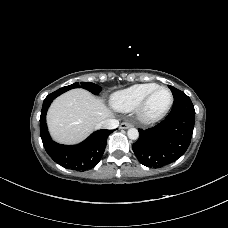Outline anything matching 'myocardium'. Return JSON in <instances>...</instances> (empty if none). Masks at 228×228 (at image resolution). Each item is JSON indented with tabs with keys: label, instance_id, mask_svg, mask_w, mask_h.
I'll return each instance as SVG.
<instances>
[{
	"label": "myocardium",
	"instance_id": "1",
	"mask_svg": "<svg viewBox=\"0 0 228 228\" xmlns=\"http://www.w3.org/2000/svg\"><path fill=\"white\" fill-rule=\"evenodd\" d=\"M160 89H164L167 90L170 94V102L168 104V106L166 107V109L161 112L160 114L156 115V116H148L146 114V107L147 104L149 102V100L151 99V97L154 95V93ZM174 103V96L172 91L167 87V86H163V85H159L156 88H154L153 90H151L141 101V103L138 105V107L136 108V116L138 121L141 124L144 125H152L155 124L159 121H161L163 118H165L167 116V114L170 112L172 106Z\"/></svg>",
	"mask_w": 228,
	"mask_h": 228
}]
</instances>
